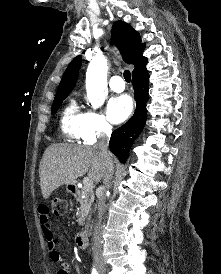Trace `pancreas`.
<instances>
[{
    "instance_id": "1",
    "label": "pancreas",
    "mask_w": 221,
    "mask_h": 274,
    "mask_svg": "<svg viewBox=\"0 0 221 274\" xmlns=\"http://www.w3.org/2000/svg\"><path fill=\"white\" fill-rule=\"evenodd\" d=\"M82 195L85 197L82 198ZM77 200L80 202V207L77 212V217H78V224L83 225L84 221L90 211L91 204L94 201V193L92 189H88L84 187L81 192L78 194Z\"/></svg>"
}]
</instances>
